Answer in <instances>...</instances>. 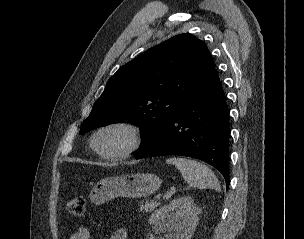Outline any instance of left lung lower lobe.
Returning <instances> with one entry per match:
<instances>
[{"instance_id":"0a47b994","label":"left lung lower lobe","mask_w":304,"mask_h":239,"mask_svg":"<svg viewBox=\"0 0 304 239\" xmlns=\"http://www.w3.org/2000/svg\"><path fill=\"white\" fill-rule=\"evenodd\" d=\"M229 136L228 107L214 69L168 126L150 144L137 151L135 157L182 155L197 158L218 169L228 188Z\"/></svg>"}]
</instances>
